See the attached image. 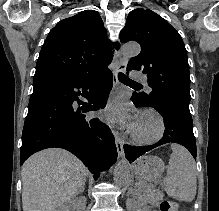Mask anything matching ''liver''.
<instances>
[{"mask_svg": "<svg viewBox=\"0 0 219 211\" xmlns=\"http://www.w3.org/2000/svg\"><path fill=\"white\" fill-rule=\"evenodd\" d=\"M21 175L23 211H58L84 187L87 169L67 149L51 147L28 157Z\"/></svg>", "mask_w": 219, "mask_h": 211, "instance_id": "liver-1", "label": "liver"}]
</instances>
